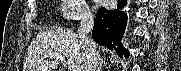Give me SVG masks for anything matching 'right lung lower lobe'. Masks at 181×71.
<instances>
[{
	"instance_id": "98d812e1",
	"label": "right lung lower lobe",
	"mask_w": 181,
	"mask_h": 71,
	"mask_svg": "<svg viewBox=\"0 0 181 71\" xmlns=\"http://www.w3.org/2000/svg\"><path fill=\"white\" fill-rule=\"evenodd\" d=\"M126 0H118L117 9L107 10L100 8L97 11L92 38L100 45L115 50L121 57H129V52L123 48L121 38L125 31L127 15L119 9L126 5Z\"/></svg>"
}]
</instances>
